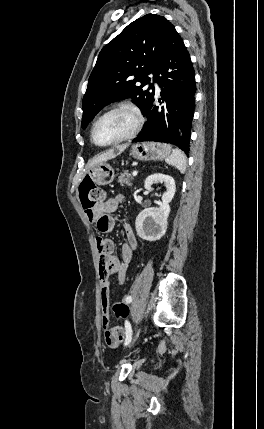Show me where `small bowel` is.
Segmentation results:
<instances>
[{
  "label": "small bowel",
  "mask_w": 264,
  "mask_h": 429,
  "mask_svg": "<svg viewBox=\"0 0 264 429\" xmlns=\"http://www.w3.org/2000/svg\"><path fill=\"white\" fill-rule=\"evenodd\" d=\"M122 196L109 198L96 206L93 213H86L90 223H95L101 232L111 231L116 224L113 213L118 210L122 203ZM126 242L121 246V259L114 254V243L109 239L97 237L96 247L99 254V278L101 284V306H102V327L104 330V340L108 347L117 348L122 342L119 332L125 336L122 327H110L111 317L109 312V284L110 277L115 275L119 284H124L126 273L131 262L133 252L138 247L137 236L129 224H124Z\"/></svg>",
  "instance_id": "c3829d8e"
}]
</instances>
